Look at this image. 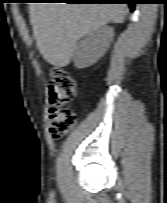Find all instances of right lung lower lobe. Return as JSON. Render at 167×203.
I'll list each match as a JSON object with an SVG mask.
<instances>
[{
	"instance_id": "obj_1",
	"label": "right lung lower lobe",
	"mask_w": 167,
	"mask_h": 203,
	"mask_svg": "<svg viewBox=\"0 0 167 203\" xmlns=\"http://www.w3.org/2000/svg\"><path fill=\"white\" fill-rule=\"evenodd\" d=\"M88 3H127L130 6L131 12L135 9V4L138 3L137 0H88Z\"/></svg>"
}]
</instances>
